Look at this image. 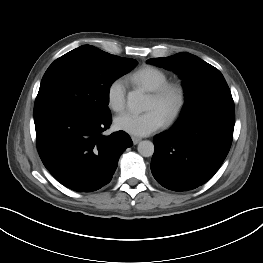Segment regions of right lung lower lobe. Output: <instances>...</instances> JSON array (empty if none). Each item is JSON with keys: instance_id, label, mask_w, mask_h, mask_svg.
<instances>
[{"instance_id": "obj_1", "label": "right lung lower lobe", "mask_w": 263, "mask_h": 263, "mask_svg": "<svg viewBox=\"0 0 263 263\" xmlns=\"http://www.w3.org/2000/svg\"><path fill=\"white\" fill-rule=\"evenodd\" d=\"M39 156L62 185L92 192L108 184L121 154L133 145L124 131L104 136L110 116L57 110L34 117Z\"/></svg>"}]
</instances>
